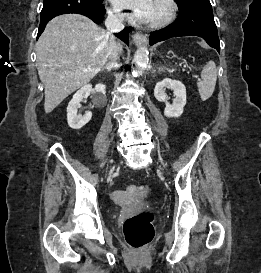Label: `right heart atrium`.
<instances>
[{
  "instance_id": "1",
  "label": "right heart atrium",
  "mask_w": 261,
  "mask_h": 273,
  "mask_svg": "<svg viewBox=\"0 0 261 273\" xmlns=\"http://www.w3.org/2000/svg\"><path fill=\"white\" fill-rule=\"evenodd\" d=\"M109 15H110V17L112 18V19H121V15H120V13L118 12V11H116V10H110L109 11Z\"/></svg>"
}]
</instances>
